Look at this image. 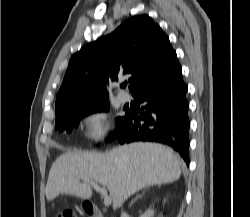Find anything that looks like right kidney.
Masks as SVG:
<instances>
[{
	"label": "right kidney",
	"instance_id": "1",
	"mask_svg": "<svg viewBox=\"0 0 250 217\" xmlns=\"http://www.w3.org/2000/svg\"><path fill=\"white\" fill-rule=\"evenodd\" d=\"M153 215H154V210L149 209L144 214H142L140 217H153Z\"/></svg>",
	"mask_w": 250,
	"mask_h": 217
}]
</instances>
